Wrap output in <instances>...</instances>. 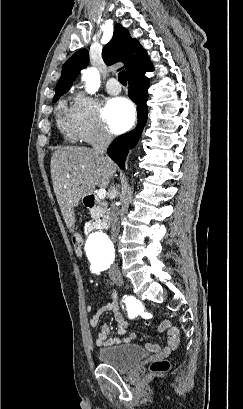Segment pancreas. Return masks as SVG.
<instances>
[{
  "mask_svg": "<svg viewBox=\"0 0 243 409\" xmlns=\"http://www.w3.org/2000/svg\"><path fill=\"white\" fill-rule=\"evenodd\" d=\"M107 214L108 211L102 206H98L91 211L92 219L99 223L107 222Z\"/></svg>",
  "mask_w": 243,
  "mask_h": 409,
  "instance_id": "obj_1",
  "label": "pancreas"
}]
</instances>
